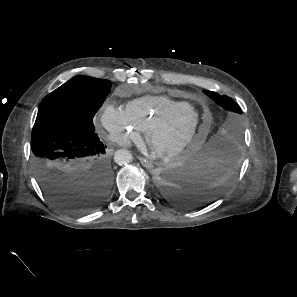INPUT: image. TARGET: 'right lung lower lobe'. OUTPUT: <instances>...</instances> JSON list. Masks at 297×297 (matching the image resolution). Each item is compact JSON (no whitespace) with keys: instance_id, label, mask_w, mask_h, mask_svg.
<instances>
[{"instance_id":"1","label":"right lung lower lobe","mask_w":297,"mask_h":297,"mask_svg":"<svg viewBox=\"0 0 297 297\" xmlns=\"http://www.w3.org/2000/svg\"><path fill=\"white\" fill-rule=\"evenodd\" d=\"M94 131L78 124H59L31 134L40 187L67 213L95 211L109 195L113 172L106 146Z\"/></svg>"}]
</instances>
